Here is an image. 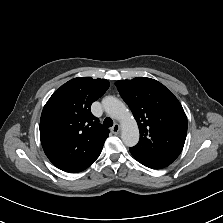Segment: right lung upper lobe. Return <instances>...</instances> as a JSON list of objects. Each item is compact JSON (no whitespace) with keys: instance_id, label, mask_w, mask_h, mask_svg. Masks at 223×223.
<instances>
[{"instance_id":"right-lung-upper-lobe-1","label":"right lung upper lobe","mask_w":223,"mask_h":223,"mask_svg":"<svg viewBox=\"0 0 223 223\" xmlns=\"http://www.w3.org/2000/svg\"><path fill=\"white\" fill-rule=\"evenodd\" d=\"M108 88L105 79L74 78L45 104L40 139L45 154L57 168L80 172L100 155L109 130L99 124L90 107Z\"/></svg>"}]
</instances>
